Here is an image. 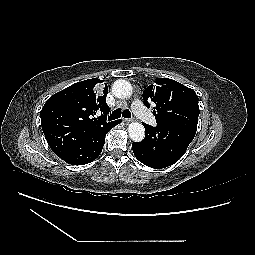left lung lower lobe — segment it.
I'll use <instances>...</instances> for the list:
<instances>
[{"label": "left lung lower lobe", "mask_w": 255, "mask_h": 255, "mask_svg": "<svg viewBox=\"0 0 255 255\" xmlns=\"http://www.w3.org/2000/svg\"><path fill=\"white\" fill-rule=\"evenodd\" d=\"M146 131L144 140L133 142L135 157L143 164L161 169L176 163L194 139L195 130L171 125L152 127L143 123Z\"/></svg>", "instance_id": "1"}]
</instances>
